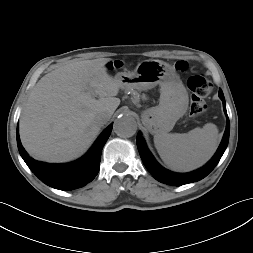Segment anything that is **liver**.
I'll return each instance as SVG.
<instances>
[{"label":"liver","mask_w":253,"mask_h":253,"mask_svg":"<svg viewBox=\"0 0 253 253\" xmlns=\"http://www.w3.org/2000/svg\"><path fill=\"white\" fill-rule=\"evenodd\" d=\"M110 58L70 62L43 76L33 88L20 118V138L35 159L66 162L82 155L120 104V85L107 73ZM93 95H98L95 99Z\"/></svg>","instance_id":"liver-1"}]
</instances>
